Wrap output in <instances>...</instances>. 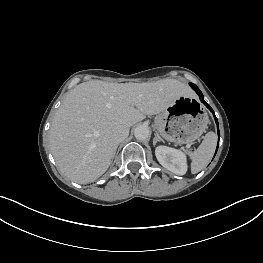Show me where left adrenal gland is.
Returning a JSON list of instances; mask_svg holds the SVG:
<instances>
[{
	"label": "left adrenal gland",
	"instance_id": "obj_1",
	"mask_svg": "<svg viewBox=\"0 0 263 263\" xmlns=\"http://www.w3.org/2000/svg\"><path fill=\"white\" fill-rule=\"evenodd\" d=\"M160 140H161V138L157 134H155V137L153 139V145L155 146L156 143L159 142Z\"/></svg>",
	"mask_w": 263,
	"mask_h": 263
}]
</instances>
